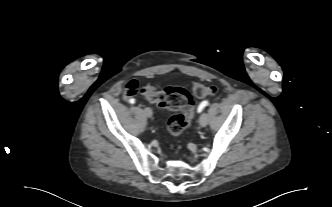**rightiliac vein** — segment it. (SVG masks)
<instances>
[{
    "mask_svg": "<svg viewBox=\"0 0 332 207\" xmlns=\"http://www.w3.org/2000/svg\"><path fill=\"white\" fill-rule=\"evenodd\" d=\"M144 114H145L148 118H150V117L152 116V110H151V108L146 107V108L144 109Z\"/></svg>",
    "mask_w": 332,
    "mask_h": 207,
    "instance_id": "right-iliac-vein-1",
    "label": "right iliac vein"
}]
</instances>
